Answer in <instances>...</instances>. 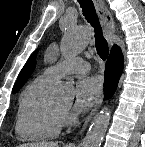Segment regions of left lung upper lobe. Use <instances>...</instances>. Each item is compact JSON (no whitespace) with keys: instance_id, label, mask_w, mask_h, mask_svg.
Segmentation results:
<instances>
[{"instance_id":"obj_1","label":"left lung upper lobe","mask_w":145,"mask_h":147,"mask_svg":"<svg viewBox=\"0 0 145 147\" xmlns=\"http://www.w3.org/2000/svg\"><path fill=\"white\" fill-rule=\"evenodd\" d=\"M36 54L37 51H35L31 57L29 58V60L27 61V63L24 65V67L22 68L19 77L17 79L16 84L14 85L13 88V92H17L26 82L27 78L30 76V74L32 73V71L35 68V58H36Z\"/></svg>"}]
</instances>
